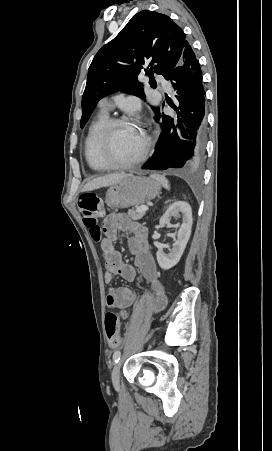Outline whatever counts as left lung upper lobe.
<instances>
[{
    "instance_id": "left-lung-upper-lobe-1",
    "label": "left lung upper lobe",
    "mask_w": 272,
    "mask_h": 451,
    "mask_svg": "<svg viewBox=\"0 0 272 451\" xmlns=\"http://www.w3.org/2000/svg\"><path fill=\"white\" fill-rule=\"evenodd\" d=\"M188 41L182 29L167 15L143 10L134 15L121 32L95 55L82 97L84 127L97 102L118 90L145 98L137 77L141 70L166 79L178 65ZM156 113L155 120L160 113Z\"/></svg>"
}]
</instances>
